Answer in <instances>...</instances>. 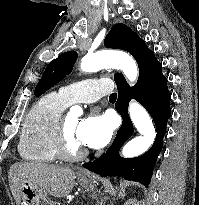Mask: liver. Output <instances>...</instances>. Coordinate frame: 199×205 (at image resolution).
<instances>
[{
	"mask_svg": "<svg viewBox=\"0 0 199 205\" xmlns=\"http://www.w3.org/2000/svg\"><path fill=\"white\" fill-rule=\"evenodd\" d=\"M9 184L17 205L21 202V187L25 182L42 189L54 197L68 195L74 187L76 174L73 170L57 165L38 162H18L9 170Z\"/></svg>",
	"mask_w": 199,
	"mask_h": 205,
	"instance_id": "6515ba94",
	"label": "liver"
}]
</instances>
